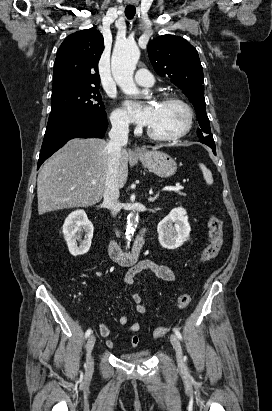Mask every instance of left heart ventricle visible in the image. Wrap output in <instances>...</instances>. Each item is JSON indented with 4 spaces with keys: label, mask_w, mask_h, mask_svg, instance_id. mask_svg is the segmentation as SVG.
Instances as JSON below:
<instances>
[{
    "label": "left heart ventricle",
    "mask_w": 272,
    "mask_h": 411,
    "mask_svg": "<svg viewBox=\"0 0 272 411\" xmlns=\"http://www.w3.org/2000/svg\"><path fill=\"white\" fill-rule=\"evenodd\" d=\"M187 123L185 109L176 103L154 104V115L148 127L158 135H175L181 132Z\"/></svg>",
    "instance_id": "obj_1"
}]
</instances>
